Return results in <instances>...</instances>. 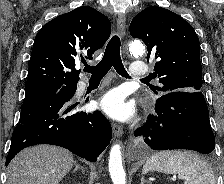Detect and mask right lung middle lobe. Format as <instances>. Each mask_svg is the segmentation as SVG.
Here are the masks:
<instances>
[{"label": "right lung middle lobe", "instance_id": "dd1d6c3e", "mask_svg": "<svg viewBox=\"0 0 224 184\" xmlns=\"http://www.w3.org/2000/svg\"><path fill=\"white\" fill-rule=\"evenodd\" d=\"M73 85H56V84H36L25 87V101L30 100L34 97L46 94L54 93L61 89L70 90Z\"/></svg>", "mask_w": 224, "mask_h": 184}]
</instances>
